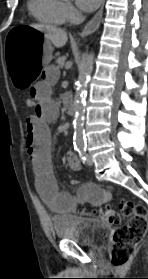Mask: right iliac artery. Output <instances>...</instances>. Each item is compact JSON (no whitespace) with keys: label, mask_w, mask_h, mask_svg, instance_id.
I'll return each mask as SVG.
<instances>
[{"label":"right iliac artery","mask_w":148,"mask_h":279,"mask_svg":"<svg viewBox=\"0 0 148 279\" xmlns=\"http://www.w3.org/2000/svg\"><path fill=\"white\" fill-rule=\"evenodd\" d=\"M82 147H75L76 151H79Z\"/></svg>","instance_id":"obj_1"}]
</instances>
